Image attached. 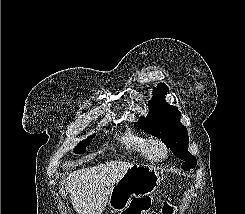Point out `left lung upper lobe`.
Segmentation results:
<instances>
[{
  "mask_svg": "<svg viewBox=\"0 0 245 214\" xmlns=\"http://www.w3.org/2000/svg\"><path fill=\"white\" fill-rule=\"evenodd\" d=\"M168 87L159 83L153 90V100L149 102V113L135 125L140 129L161 138L175 156L184 160L182 168L187 171L197 165L196 158L188 151V131L180 123L181 113L177 107L169 105L165 100Z\"/></svg>",
  "mask_w": 245,
  "mask_h": 214,
  "instance_id": "1",
  "label": "left lung upper lobe"
}]
</instances>
